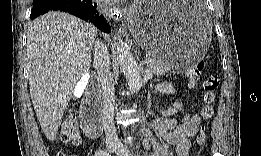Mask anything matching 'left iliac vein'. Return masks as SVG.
I'll return each instance as SVG.
<instances>
[{
    "label": "left iliac vein",
    "mask_w": 261,
    "mask_h": 156,
    "mask_svg": "<svg viewBox=\"0 0 261 156\" xmlns=\"http://www.w3.org/2000/svg\"><path fill=\"white\" fill-rule=\"evenodd\" d=\"M117 155L119 156H130L131 155V151L126 147L124 146L122 143H119L117 145Z\"/></svg>",
    "instance_id": "4c4485c4"
}]
</instances>
